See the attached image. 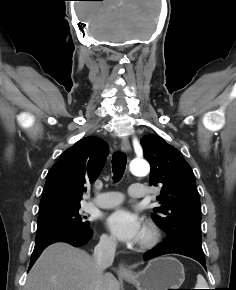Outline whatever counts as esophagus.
Instances as JSON below:
<instances>
[{
	"instance_id": "34e87169",
	"label": "esophagus",
	"mask_w": 236,
	"mask_h": 290,
	"mask_svg": "<svg viewBox=\"0 0 236 290\" xmlns=\"http://www.w3.org/2000/svg\"><path fill=\"white\" fill-rule=\"evenodd\" d=\"M130 149H131V146H130L129 140L126 137H123L121 140V150L123 152H128L130 151ZM118 273L122 275H130L132 274V271L129 268H127L125 265L120 264L118 268Z\"/></svg>"
}]
</instances>
